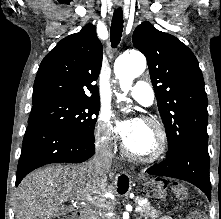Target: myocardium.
<instances>
[{
    "label": "myocardium",
    "instance_id": "f54148a6",
    "mask_svg": "<svg viewBox=\"0 0 221 219\" xmlns=\"http://www.w3.org/2000/svg\"><path fill=\"white\" fill-rule=\"evenodd\" d=\"M142 123L153 129L157 136V144L154 151L148 155H140L132 152L123 141L121 144V150L123 154L133 160L143 163H153L160 160L167 152L168 149V138L164 127L154 119L144 117Z\"/></svg>",
    "mask_w": 221,
    "mask_h": 219
}]
</instances>
